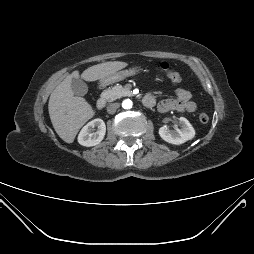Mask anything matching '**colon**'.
Returning <instances> with one entry per match:
<instances>
[{
  "mask_svg": "<svg viewBox=\"0 0 254 254\" xmlns=\"http://www.w3.org/2000/svg\"><path fill=\"white\" fill-rule=\"evenodd\" d=\"M160 68L162 69V71L166 74L167 78L175 83V84H179L182 82V76L180 73H178L177 71L172 70L169 67V64L167 62H162L160 64ZM199 120L202 123H207L209 121V116L207 115V113L205 112H201L199 114Z\"/></svg>",
  "mask_w": 254,
  "mask_h": 254,
  "instance_id": "obj_1",
  "label": "colon"
}]
</instances>
